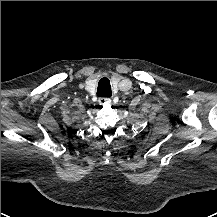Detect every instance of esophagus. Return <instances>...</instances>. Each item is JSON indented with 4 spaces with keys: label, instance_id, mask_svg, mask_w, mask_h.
Wrapping results in <instances>:
<instances>
[{
    "label": "esophagus",
    "instance_id": "esophagus-1",
    "mask_svg": "<svg viewBox=\"0 0 217 217\" xmlns=\"http://www.w3.org/2000/svg\"><path fill=\"white\" fill-rule=\"evenodd\" d=\"M98 101L102 105H107V104H110L112 100L110 98H107V97H101V98H99Z\"/></svg>",
    "mask_w": 217,
    "mask_h": 217
}]
</instances>
